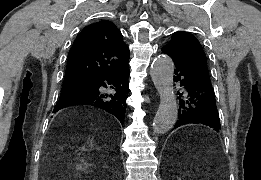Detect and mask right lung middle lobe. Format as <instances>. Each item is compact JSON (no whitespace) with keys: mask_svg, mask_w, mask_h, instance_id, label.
Returning a JSON list of instances; mask_svg holds the SVG:
<instances>
[{"mask_svg":"<svg viewBox=\"0 0 261 180\" xmlns=\"http://www.w3.org/2000/svg\"><path fill=\"white\" fill-rule=\"evenodd\" d=\"M92 81H64L60 97L66 95L89 90L91 87Z\"/></svg>","mask_w":261,"mask_h":180,"instance_id":"right-lung-middle-lobe-1","label":"right lung middle lobe"}]
</instances>
